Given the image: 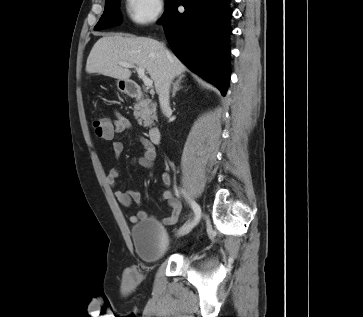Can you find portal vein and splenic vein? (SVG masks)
Wrapping results in <instances>:
<instances>
[{
	"label": "portal vein and splenic vein",
	"mask_w": 363,
	"mask_h": 317,
	"mask_svg": "<svg viewBox=\"0 0 363 317\" xmlns=\"http://www.w3.org/2000/svg\"><path fill=\"white\" fill-rule=\"evenodd\" d=\"M120 65L122 67H125V68H135L137 73H138V76L143 80L144 85L147 86V87H152L153 81L145 75V69L144 68L135 67L134 65H132L130 63H125V62L124 63L121 62Z\"/></svg>",
	"instance_id": "18ae733b"
}]
</instances>
